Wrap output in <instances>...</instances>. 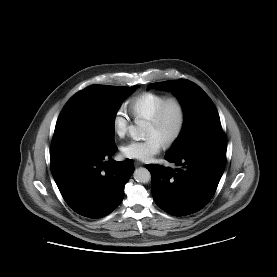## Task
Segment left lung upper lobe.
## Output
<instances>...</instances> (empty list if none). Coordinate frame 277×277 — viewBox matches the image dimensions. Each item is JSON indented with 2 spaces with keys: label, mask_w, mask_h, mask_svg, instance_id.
<instances>
[{
  "label": "left lung upper lobe",
  "mask_w": 277,
  "mask_h": 277,
  "mask_svg": "<svg viewBox=\"0 0 277 277\" xmlns=\"http://www.w3.org/2000/svg\"><path fill=\"white\" fill-rule=\"evenodd\" d=\"M171 90L184 109V126L167 156H178L202 137L223 133L216 107L207 94L187 80H172L148 85L150 88Z\"/></svg>",
  "instance_id": "1"
}]
</instances>
